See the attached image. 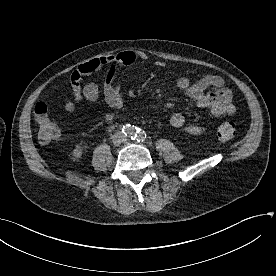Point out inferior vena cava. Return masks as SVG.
I'll list each match as a JSON object with an SVG mask.
<instances>
[{
  "label": "inferior vena cava",
  "mask_w": 276,
  "mask_h": 276,
  "mask_svg": "<svg viewBox=\"0 0 276 276\" xmlns=\"http://www.w3.org/2000/svg\"><path fill=\"white\" fill-rule=\"evenodd\" d=\"M123 138H124V136H122ZM122 142V140H119V141H117V143H121Z\"/></svg>",
  "instance_id": "602c4592"
}]
</instances>
